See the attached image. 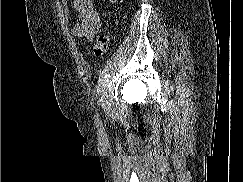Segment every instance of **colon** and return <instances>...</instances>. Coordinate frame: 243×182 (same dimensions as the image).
I'll use <instances>...</instances> for the list:
<instances>
[{
    "label": "colon",
    "instance_id": "colon-1",
    "mask_svg": "<svg viewBox=\"0 0 243 182\" xmlns=\"http://www.w3.org/2000/svg\"><path fill=\"white\" fill-rule=\"evenodd\" d=\"M109 31L106 29L102 31L97 37L93 47V54L95 57L100 58L104 56L110 44Z\"/></svg>",
    "mask_w": 243,
    "mask_h": 182
}]
</instances>
